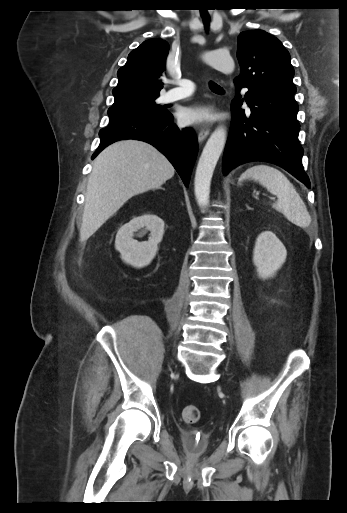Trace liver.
<instances>
[{"mask_svg": "<svg viewBox=\"0 0 347 513\" xmlns=\"http://www.w3.org/2000/svg\"><path fill=\"white\" fill-rule=\"evenodd\" d=\"M174 171L167 158L144 141L109 145L95 158L88 178L80 239L87 240L133 196L160 188Z\"/></svg>", "mask_w": 347, "mask_h": 513, "instance_id": "6515ba94", "label": "liver"}]
</instances>
